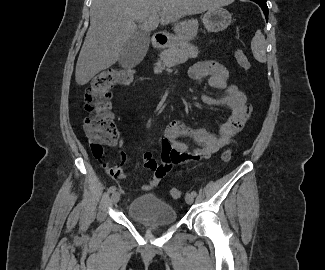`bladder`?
I'll use <instances>...</instances> for the list:
<instances>
[{
    "label": "bladder",
    "mask_w": 325,
    "mask_h": 270,
    "mask_svg": "<svg viewBox=\"0 0 325 270\" xmlns=\"http://www.w3.org/2000/svg\"><path fill=\"white\" fill-rule=\"evenodd\" d=\"M127 215L147 226H165L177 221L174 207L154 194L134 198L126 209Z\"/></svg>",
    "instance_id": "31cf9c89"
}]
</instances>
